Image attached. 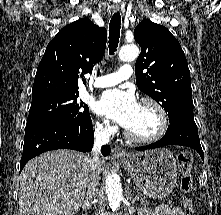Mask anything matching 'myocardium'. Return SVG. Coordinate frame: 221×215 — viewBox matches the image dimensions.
Wrapping results in <instances>:
<instances>
[{
    "instance_id": "1",
    "label": "myocardium",
    "mask_w": 221,
    "mask_h": 215,
    "mask_svg": "<svg viewBox=\"0 0 221 215\" xmlns=\"http://www.w3.org/2000/svg\"><path fill=\"white\" fill-rule=\"evenodd\" d=\"M139 104H147L150 105L156 112L159 119V126L157 131L146 137H141L134 135L127 128L125 129V137L134 143L138 144H150L160 140L166 133L169 125L168 115L164 107L154 98L152 97H143L139 100Z\"/></svg>"
}]
</instances>
